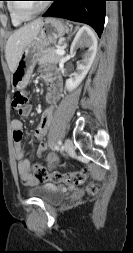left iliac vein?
Masks as SVG:
<instances>
[{"label": "left iliac vein", "mask_w": 133, "mask_h": 253, "mask_svg": "<svg viewBox=\"0 0 133 253\" xmlns=\"http://www.w3.org/2000/svg\"><path fill=\"white\" fill-rule=\"evenodd\" d=\"M73 149V142L71 139L67 138L64 142V150L71 151Z\"/></svg>", "instance_id": "obj_1"}]
</instances>
